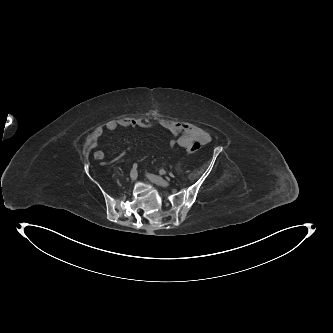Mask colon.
Segmentation results:
<instances>
[{
  "label": "colon",
  "mask_w": 333,
  "mask_h": 333,
  "mask_svg": "<svg viewBox=\"0 0 333 333\" xmlns=\"http://www.w3.org/2000/svg\"><path fill=\"white\" fill-rule=\"evenodd\" d=\"M201 148V144L199 142H194L190 148V152H197Z\"/></svg>",
  "instance_id": "1"
}]
</instances>
